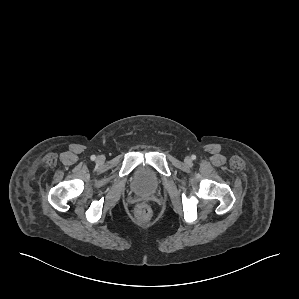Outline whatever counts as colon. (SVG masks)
Masks as SVG:
<instances>
[{"label": "colon", "instance_id": "colon-1", "mask_svg": "<svg viewBox=\"0 0 299 299\" xmlns=\"http://www.w3.org/2000/svg\"><path fill=\"white\" fill-rule=\"evenodd\" d=\"M152 210L149 204L146 202H141L136 205L134 209V215L139 219V220H146L151 216Z\"/></svg>", "mask_w": 299, "mask_h": 299}]
</instances>
